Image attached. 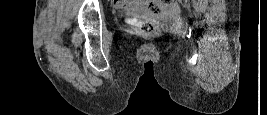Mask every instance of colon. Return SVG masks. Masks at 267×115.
<instances>
[{"label":"colon","mask_w":267,"mask_h":115,"mask_svg":"<svg viewBox=\"0 0 267 115\" xmlns=\"http://www.w3.org/2000/svg\"><path fill=\"white\" fill-rule=\"evenodd\" d=\"M150 8L153 12L158 13V7L161 5H167L173 0H150ZM136 32L143 37H153L160 33L159 27L152 22L141 21L136 26Z\"/></svg>","instance_id":"5ec220e1"}]
</instances>
